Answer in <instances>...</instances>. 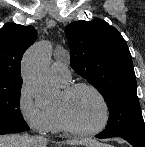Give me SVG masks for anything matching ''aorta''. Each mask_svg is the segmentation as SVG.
<instances>
[{
    "label": "aorta",
    "mask_w": 145,
    "mask_h": 147,
    "mask_svg": "<svg viewBox=\"0 0 145 147\" xmlns=\"http://www.w3.org/2000/svg\"><path fill=\"white\" fill-rule=\"evenodd\" d=\"M51 53V44L41 41L31 46L22 60L21 72L24 83L33 92L39 105L52 100L57 93L49 74Z\"/></svg>",
    "instance_id": "aorta-1"
}]
</instances>
